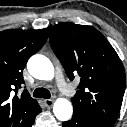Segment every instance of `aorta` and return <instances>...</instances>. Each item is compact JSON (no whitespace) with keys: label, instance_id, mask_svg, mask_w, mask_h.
Listing matches in <instances>:
<instances>
[{"label":"aorta","instance_id":"obj_1","mask_svg":"<svg viewBox=\"0 0 127 127\" xmlns=\"http://www.w3.org/2000/svg\"><path fill=\"white\" fill-rule=\"evenodd\" d=\"M27 69L33 77L41 80H49L53 75V66L50 60L40 54L33 55L29 59ZM53 112L59 121H68L72 117L73 107L69 101L59 99L54 104Z\"/></svg>","mask_w":127,"mask_h":127}]
</instances>
